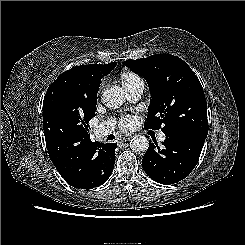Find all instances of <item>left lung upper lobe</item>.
Returning <instances> with one entry per match:
<instances>
[{"label": "left lung upper lobe", "mask_w": 245, "mask_h": 245, "mask_svg": "<svg viewBox=\"0 0 245 245\" xmlns=\"http://www.w3.org/2000/svg\"><path fill=\"white\" fill-rule=\"evenodd\" d=\"M126 65L148 83L151 101L145 129H159L166 136L208 133L207 104L201 83L181 58L156 54Z\"/></svg>", "instance_id": "obj_1"}]
</instances>
